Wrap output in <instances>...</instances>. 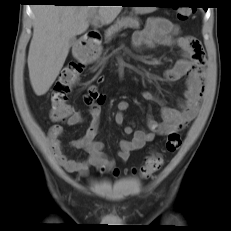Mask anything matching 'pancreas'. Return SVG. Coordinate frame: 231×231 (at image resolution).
Instances as JSON below:
<instances>
[{
	"mask_svg": "<svg viewBox=\"0 0 231 231\" xmlns=\"http://www.w3.org/2000/svg\"><path fill=\"white\" fill-rule=\"evenodd\" d=\"M139 19L137 17L132 16H122L117 19L113 25H111L107 31L105 32L106 41H110L111 38L125 28H139Z\"/></svg>",
	"mask_w": 231,
	"mask_h": 231,
	"instance_id": "obj_1",
	"label": "pancreas"
}]
</instances>
